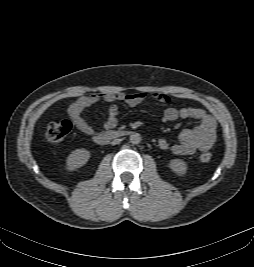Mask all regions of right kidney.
I'll list each match as a JSON object with an SVG mask.
<instances>
[{"instance_id": "1", "label": "right kidney", "mask_w": 254, "mask_h": 267, "mask_svg": "<svg viewBox=\"0 0 254 267\" xmlns=\"http://www.w3.org/2000/svg\"><path fill=\"white\" fill-rule=\"evenodd\" d=\"M90 158V152L86 149H76L67 157V169L74 171L87 163Z\"/></svg>"}]
</instances>
